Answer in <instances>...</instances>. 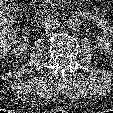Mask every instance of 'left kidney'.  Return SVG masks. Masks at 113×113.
I'll list each match as a JSON object with an SVG mask.
<instances>
[{
    "instance_id": "obj_1",
    "label": "left kidney",
    "mask_w": 113,
    "mask_h": 113,
    "mask_svg": "<svg viewBox=\"0 0 113 113\" xmlns=\"http://www.w3.org/2000/svg\"><path fill=\"white\" fill-rule=\"evenodd\" d=\"M96 42H97L98 47L105 53H109V52L113 51L112 43H111V41H109L108 38L98 37Z\"/></svg>"
}]
</instances>
